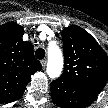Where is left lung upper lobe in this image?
Segmentation results:
<instances>
[{
  "mask_svg": "<svg viewBox=\"0 0 108 108\" xmlns=\"http://www.w3.org/2000/svg\"><path fill=\"white\" fill-rule=\"evenodd\" d=\"M65 67L59 79L104 88L108 80V56L95 39L79 26L62 32Z\"/></svg>",
  "mask_w": 108,
  "mask_h": 108,
  "instance_id": "1",
  "label": "left lung upper lobe"
}]
</instances>
